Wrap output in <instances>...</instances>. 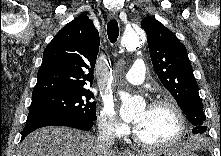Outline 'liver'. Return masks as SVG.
Listing matches in <instances>:
<instances>
[{
	"instance_id": "liver-1",
	"label": "liver",
	"mask_w": 221,
	"mask_h": 156,
	"mask_svg": "<svg viewBox=\"0 0 221 156\" xmlns=\"http://www.w3.org/2000/svg\"><path fill=\"white\" fill-rule=\"evenodd\" d=\"M186 148H193L187 145ZM19 156H118L101 148L90 133L64 127H47L28 135L20 145Z\"/></svg>"
}]
</instances>
